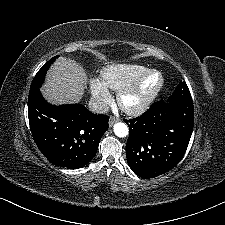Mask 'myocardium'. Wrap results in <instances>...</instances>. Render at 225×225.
I'll return each mask as SVG.
<instances>
[{
    "instance_id": "1",
    "label": "myocardium",
    "mask_w": 225,
    "mask_h": 225,
    "mask_svg": "<svg viewBox=\"0 0 225 225\" xmlns=\"http://www.w3.org/2000/svg\"><path fill=\"white\" fill-rule=\"evenodd\" d=\"M156 77V83L145 90L149 78ZM164 84L163 74L154 68L145 70L131 85L121 90L117 96L120 108L130 116H140L145 113L155 100ZM137 99L136 103L127 104L128 99Z\"/></svg>"
}]
</instances>
